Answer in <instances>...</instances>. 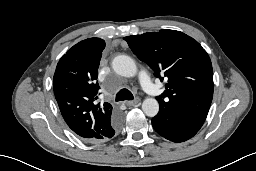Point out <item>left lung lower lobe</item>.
<instances>
[{"mask_svg":"<svg viewBox=\"0 0 256 171\" xmlns=\"http://www.w3.org/2000/svg\"><path fill=\"white\" fill-rule=\"evenodd\" d=\"M152 125L158 134L173 142L186 141L198 132L188 126L177 113L165 110L159 111L152 119Z\"/></svg>","mask_w":256,"mask_h":171,"instance_id":"1","label":"left lung lower lobe"}]
</instances>
